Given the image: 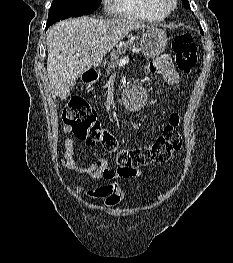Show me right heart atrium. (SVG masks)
Wrapping results in <instances>:
<instances>
[{
    "label": "right heart atrium",
    "instance_id": "d8ad5b80",
    "mask_svg": "<svg viewBox=\"0 0 233 263\" xmlns=\"http://www.w3.org/2000/svg\"><path fill=\"white\" fill-rule=\"evenodd\" d=\"M103 1H104L106 9H108V10L112 9V7H113L112 1L113 0H103Z\"/></svg>",
    "mask_w": 233,
    "mask_h": 263
}]
</instances>
